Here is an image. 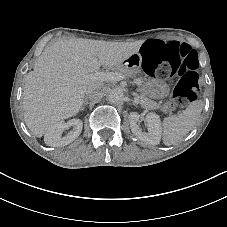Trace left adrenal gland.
<instances>
[{
	"mask_svg": "<svg viewBox=\"0 0 227 227\" xmlns=\"http://www.w3.org/2000/svg\"><path fill=\"white\" fill-rule=\"evenodd\" d=\"M133 105H134L135 107H137V106H138L136 103H133Z\"/></svg>",
	"mask_w": 227,
	"mask_h": 227,
	"instance_id": "a2214340",
	"label": "left adrenal gland"
}]
</instances>
